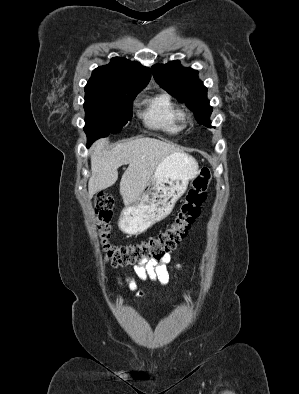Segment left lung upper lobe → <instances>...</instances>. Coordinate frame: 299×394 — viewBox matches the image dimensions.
<instances>
[{"mask_svg":"<svg viewBox=\"0 0 299 394\" xmlns=\"http://www.w3.org/2000/svg\"><path fill=\"white\" fill-rule=\"evenodd\" d=\"M151 70L155 81L178 101L185 103L199 124L211 127L209 118L213 108L207 99V88L198 79L196 70L182 67L178 60L153 65Z\"/></svg>","mask_w":299,"mask_h":394,"instance_id":"1","label":"left lung upper lobe"}]
</instances>
